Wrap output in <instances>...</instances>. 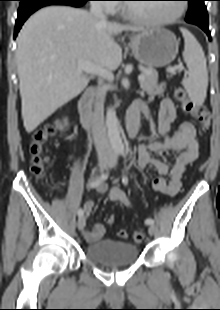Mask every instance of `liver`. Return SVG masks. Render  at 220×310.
Here are the masks:
<instances>
[{
  "instance_id": "6515ba94",
  "label": "liver",
  "mask_w": 220,
  "mask_h": 310,
  "mask_svg": "<svg viewBox=\"0 0 220 310\" xmlns=\"http://www.w3.org/2000/svg\"><path fill=\"white\" fill-rule=\"evenodd\" d=\"M123 31L145 30L102 22L88 11L66 6L43 8L26 21L15 57L28 133L87 87L89 78L78 70L80 62L119 67L122 49L114 36Z\"/></svg>"
}]
</instances>
